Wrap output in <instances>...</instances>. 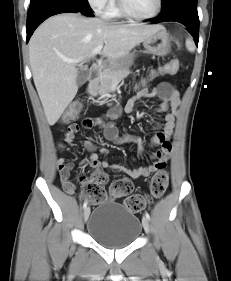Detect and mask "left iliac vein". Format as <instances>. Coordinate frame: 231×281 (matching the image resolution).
<instances>
[{
    "label": "left iliac vein",
    "mask_w": 231,
    "mask_h": 281,
    "mask_svg": "<svg viewBox=\"0 0 231 281\" xmlns=\"http://www.w3.org/2000/svg\"><path fill=\"white\" fill-rule=\"evenodd\" d=\"M142 224H143V228L146 231V233L150 232V225H149V221L146 217L142 218Z\"/></svg>",
    "instance_id": "1"
}]
</instances>
